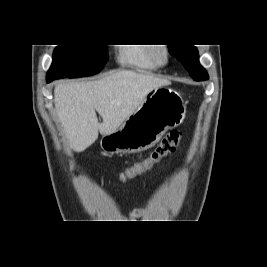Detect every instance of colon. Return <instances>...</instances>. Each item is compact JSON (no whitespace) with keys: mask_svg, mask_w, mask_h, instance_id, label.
Returning <instances> with one entry per match:
<instances>
[{"mask_svg":"<svg viewBox=\"0 0 267 267\" xmlns=\"http://www.w3.org/2000/svg\"><path fill=\"white\" fill-rule=\"evenodd\" d=\"M182 137L183 132L181 130L169 132L146 159L136 162L128 169H121L118 175H113V180L131 182V178H138V174L150 169L162 158L174 152L179 147Z\"/></svg>","mask_w":267,"mask_h":267,"instance_id":"colon-1","label":"colon"}]
</instances>
